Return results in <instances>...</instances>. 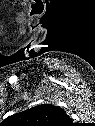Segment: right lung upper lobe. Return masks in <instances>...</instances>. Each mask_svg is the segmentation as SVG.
<instances>
[{
  "label": "right lung upper lobe",
  "instance_id": "cb5924a9",
  "mask_svg": "<svg viewBox=\"0 0 95 126\" xmlns=\"http://www.w3.org/2000/svg\"><path fill=\"white\" fill-rule=\"evenodd\" d=\"M14 126H70V116L60 107L41 104L7 118Z\"/></svg>",
  "mask_w": 95,
  "mask_h": 126
}]
</instances>
